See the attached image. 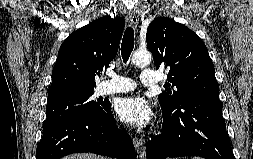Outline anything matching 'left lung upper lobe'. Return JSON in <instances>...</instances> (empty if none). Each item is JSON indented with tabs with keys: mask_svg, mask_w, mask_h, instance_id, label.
I'll use <instances>...</instances> for the list:
<instances>
[{
	"mask_svg": "<svg viewBox=\"0 0 253 159\" xmlns=\"http://www.w3.org/2000/svg\"><path fill=\"white\" fill-rule=\"evenodd\" d=\"M146 40L155 66L169 70L168 86L175 87L158 96L163 112L172 114L193 101L220 103L214 65L204 42L192 30L158 17L148 26Z\"/></svg>",
	"mask_w": 253,
	"mask_h": 159,
	"instance_id": "obj_1",
	"label": "left lung upper lobe"
}]
</instances>
